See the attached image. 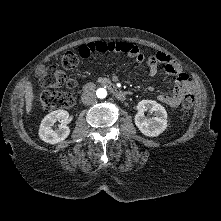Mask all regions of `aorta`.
<instances>
[{
    "label": "aorta",
    "instance_id": "aorta-1",
    "mask_svg": "<svg viewBox=\"0 0 221 221\" xmlns=\"http://www.w3.org/2000/svg\"><path fill=\"white\" fill-rule=\"evenodd\" d=\"M96 95H97L98 98L104 99L107 96V91L104 88H99L96 91Z\"/></svg>",
    "mask_w": 221,
    "mask_h": 221
}]
</instances>
